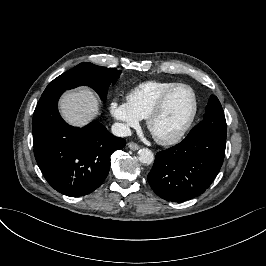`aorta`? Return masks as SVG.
<instances>
[{
  "label": "aorta",
  "instance_id": "obj_1",
  "mask_svg": "<svg viewBox=\"0 0 266 266\" xmlns=\"http://www.w3.org/2000/svg\"><path fill=\"white\" fill-rule=\"evenodd\" d=\"M138 159L141 163L150 165L154 161V154L148 148H142L138 151Z\"/></svg>",
  "mask_w": 266,
  "mask_h": 266
}]
</instances>
